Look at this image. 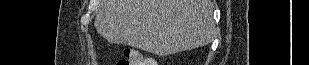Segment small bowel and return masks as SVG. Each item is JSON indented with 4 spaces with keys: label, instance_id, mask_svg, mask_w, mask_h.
I'll return each instance as SVG.
<instances>
[{
    "label": "small bowel",
    "instance_id": "1",
    "mask_svg": "<svg viewBox=\"0 0 309 65\" xmlns=\"http://www.w3.org/2000/svg\"><path fill=\"white\" fill-rule=\"evenodd\" d=\"M146 63H147V64H148V63H154V61H152V60H149V61H148V62H146Z\"/></svg>",
    "mask_w": 309,
    "mask_h": 65
}]
</instances>
